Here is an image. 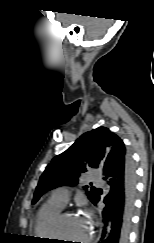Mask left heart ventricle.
I'll return each mask as SVG.
<instances>
[{"label":"left heart ventricle","instance_id":"1","mask_svg":"<svg viewBox=\"0 0 154 243\" xmlns=\"http://www.w3.org/2000/svg\"><path fill=\"white\" fill-rule=\"evenodd\" d=\"M91 232V224L86 217L71 215L63 218L60 224V235L67 239L65 243L84 241Z\"/></svg>","mask_w":154,"mask_h":243}]
</instances>
